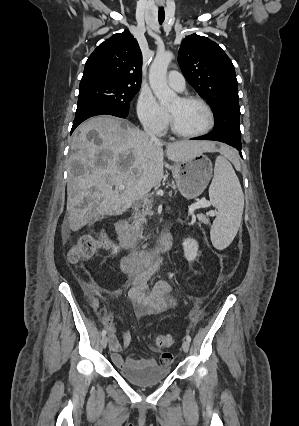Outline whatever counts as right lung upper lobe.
Here are the masks:
<instances>
[{
    "label": "right lung upper lobe",
    "mask_w": 299,
    "mask_h": 426,
    "mask_svg": "<svg viewBox=\"0 0 299 426\" xmlns=\"http://www.w3.org/2000/svg\"><path fill=\"white\" fill-rule=\"evenodd\" d=\"M142 53L137 40L125 30L102 42L88 58L80 85L113 83L140 87Z\"/></svg>",
    "instance_id": "1"
}]
</instances>
